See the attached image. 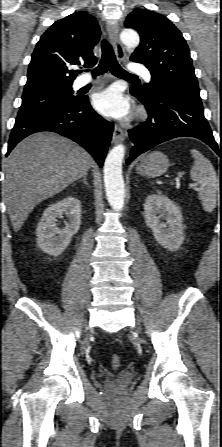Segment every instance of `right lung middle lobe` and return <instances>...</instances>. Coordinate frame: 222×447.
<instances>
[{"label":"right lung middle lobe","mask_w":222,"mask_h":447,"mask_svg":"<svg viewBox=\"0 0 222 447\" xmlns=\"http://www.w3.org/2000/svg\"><path fill=\"white\" fill-rule=\"evenodd\" d=\"M77 99L78 97L73 96L72 87L23 93L18 117L46 111L52 107L65 105Z\"/></svg>","instance_id":"dd1d6c3e"}]
</instances>
